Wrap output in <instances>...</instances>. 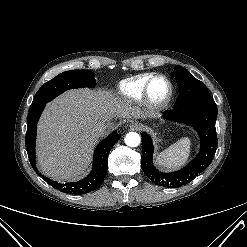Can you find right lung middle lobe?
<instances>
[{"instance_id":"dd1d6c3e","label":"right lung middle lobe","mask_w":247,"mask_h":247,"mask_svg":"<svg viewBox=\"0 0 247 247\" xmlns=\"http://www.w3.org/2000/svg\"><path fill=\"white\" fill-rule=\"evenodd\" d=\"M95 86L94 74L87 70H70L57 75L52 80L43 84L36 93L30 109L37 108L64 91L72 88Z\"/></svg>"}]
</instances>
